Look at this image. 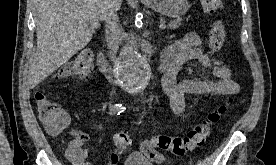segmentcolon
Masks as SVG:
<instances>
[{
	"label": "colon",
	"mask_w": 276,
	"mask_h": 165,
	"mask_svg": "<svg viewBox=\"0 0 276 165\" xmlns=\"http://www.w3.org/2000/svg\"><path fill=\"white\" fill-rule=\"evenodd\" d=\"M206 13L215 14L223 9L222 0H201ZM226 40V31L222 23L216 22L209 33V47L213 51L220 50ZM92 68V54L89 51L81 52L77 57L68 62L61 70L62 78L75 77L86 78ZM35 101L38 108L39 117L45 128L54 134L60 133L68 123V117L60 105L51 101L43 92H37ZM231 100L218 106L211 111L200 123L194 126L183 137H170L166 135H155L149 140V145L143 147L144 154L150 160H154L157 150L173 153L182 156L187 152L202 146L209 135L213 125L219 122L226 113ZM132 143L130 136L126 132H118L113 137V144L117 151H126ZM70 153L75 155L74 150Z\"/></svg>",
	"instance_id": "5ec220e1"
}]
</instances>
